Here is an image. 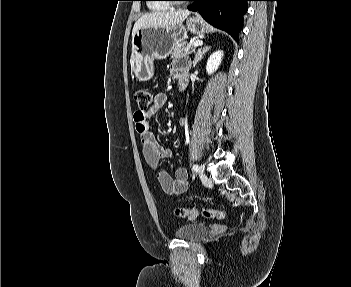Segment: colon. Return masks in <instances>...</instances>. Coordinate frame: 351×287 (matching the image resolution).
Returning a JSON list of instances; mask_svg holds the SVG:
<instances>
[{
	"label": "colon",
	"instance_id": "colon-1",
	"mask_svg": "<svg viewBox=\"0 0 351 287\" xmlns=\"http://www.w3.org/2000/svg\"><path fill=\"white\" fill-rule=\"evenodd\" d=\"M154 98V92L147 88H138L134 93V99L141 111H146L153 104ZM196 212L194 208H177L175 210V215L182 218H194ZM201 214L210 219H223L226 216L225 211L222 210L202 209Z\"/></svg>",
	"mask_w": 351,
	"mask_h": 287
}]
</instances>
